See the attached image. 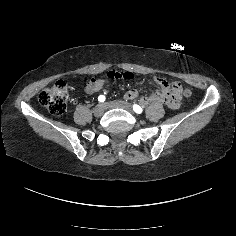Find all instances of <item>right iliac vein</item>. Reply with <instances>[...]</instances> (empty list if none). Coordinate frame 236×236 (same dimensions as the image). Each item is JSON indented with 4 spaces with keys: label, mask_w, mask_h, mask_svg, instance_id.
<instances>
[{
    "label": "right iliac vein",
    "mask_w": 236,
    "mask_h": 236,
    "mask_svg": "<svg viewBox=\"0 0 236 236\" xmlns=\"http://www.w3.org/2000/svg\"><path fill=\"white\" fill-rule=\"evenodd\" d=\"M105 112V106L103 104H98L95 106L93 113L96 117H101Z\"/></svg>",
    "instance_id": "63e3f726"
}]
</instances>
